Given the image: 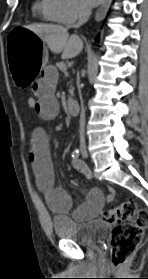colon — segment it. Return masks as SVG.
<instances>
[{"label": "colon", "instance_id": "1", "mask_svg": "<svg viewBox=\"0 0 148 279\" xmlns=\"http://www.w3.org/2000/svg\"><path fill=\"white\" fill-rule=\"evenodd\" d=\"M26 104L35 110L38 105L36 97L29 96ZM101 217L115 225L110 238L111 260L115 266H121L131 258L142 241L148 225V211L138 208L134 200L126 199L103 212Z\"/></svg>", "mask_w": 148, "mask_h": 279}]
</instances>
